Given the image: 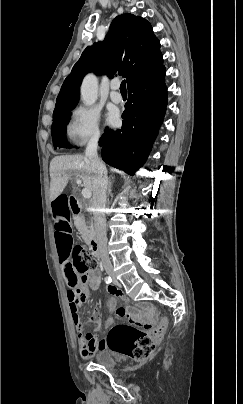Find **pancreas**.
<instances>
[{"instance_id":"pancreas-1","label":"pancreas","mask_w":243,"mask_h":404,"mask_svg":"<svg viewBox=\"0 0 243 404\" xmlns=\"http://www.w3.org/2000/svg\"><path fill=\"white\" fill-rule=\"evenodd\" d=\"M78 232H80L84 242H86V244H88V242H91L92 238H93V228H90V230H88L84 220H82V218H77V220H75L74 222Z\"/></svg>"}]
</instances>
